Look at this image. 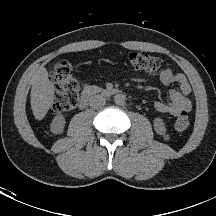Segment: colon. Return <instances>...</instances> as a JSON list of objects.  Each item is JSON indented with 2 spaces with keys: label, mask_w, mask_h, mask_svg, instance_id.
Segmentation results:
<instances>
[{
  "label": "colon",
  "mask_w": 216,
  "mask_h": 216,
  "mask_svg": "<svg viewBox=\"0 0 216 216\" xmlns=\"http://www.w3.org/2000/svg\"><path fill=\"white\" fill-rule=\"evenodd\" d=\"M128 61L130 67L136 71L159 73L166 69V63L153 54L134 52L129 55ZM51 79L58 87L52 102V111L60 113L72 110L79 97L80 82L74 75L71 65L66 60L57 61ZM189 122L187 113H181L176 118L175 128L184 131L188 128Z\"/></svg>",
  "instance_id": "obj_1"
}]
</instances>
